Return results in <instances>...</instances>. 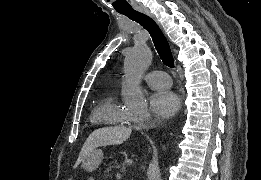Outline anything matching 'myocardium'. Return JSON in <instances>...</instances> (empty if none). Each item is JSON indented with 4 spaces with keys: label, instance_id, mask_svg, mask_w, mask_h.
Returning a JSON list of instances; mask_svg holds the SVG:
<instances>
[{
    "label": "myocardium",
    "instance_id": "1",
    "mask_svg": "<svg viewBox=\"0 0 261 180\" xmlns=\"http://www.w3.org/2000/svg\"><path fill=\"white\" fill-rule=\"evenodd\" d=\"M123 121H124L125 123H127V124L130 123V122H132V120H131L130 118H128L127 116L124 117V119L122 120V122H123Z\"/></svg>",
    "mask_w": 261,
    "mask_h": 180
}]
</instances>
